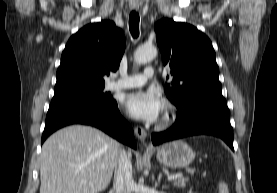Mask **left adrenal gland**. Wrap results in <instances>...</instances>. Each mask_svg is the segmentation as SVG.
<instances>
[{
	"label": "left adrenal gland",
	"instance_id": "left-adrenal-gland-1",
	"mask_svg": "<svg viewBox=\"0 0 277 193\" xmlns=\"http://www.w3.org/2000/svg\"><path fill=\"white\" fill-rule=\"evenodd\" d=\"M161 177H162V174H159L158 183H160ZM163 188H167V186H163Z\"/></svg>",
	"mask_w": 277,
	"mask_h": 193
}]
</instances>
